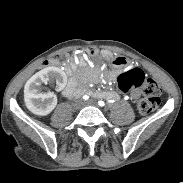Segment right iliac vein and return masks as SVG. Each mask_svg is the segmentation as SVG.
<instances>
[{
	"label": "right iliac vein",
	"mask_w": 183,
	"mask_h": 183,
	"mask_svg": "<svg viewBox=\"0 0 183 183\" xmlns=\"http://www.w3.org/2000/svg\"><path fill=\"white\" fill-rule=\"evenodd\" d=\"M73 106L76 110H79L83 107V102L81 100H76L74 102Z\"/></svg>",
	"instance_id": "63e3f726"
}]
</instances>
